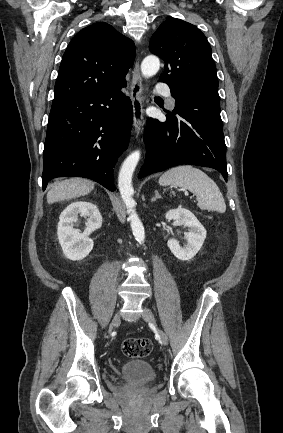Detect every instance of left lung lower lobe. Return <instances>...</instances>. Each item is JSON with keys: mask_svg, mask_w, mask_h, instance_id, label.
Wrapping results in <instances>:
<instances>
[{"mask_svg": "<svg viewBox=\"0 0 283 433\" xmlns=\"http://www.w3.org/2000/svg\"><path fill=\"white\" fill-rule=\"evenodd\" d=\"M167 120L148 119L144 133L145 163L138 178L182 164L211 167L227 181L226 145L222 127L184 114L166 115Z\"/></svg>", "mask_w": 283, "mask_h": 433, "instance_id": "0a47b994", "label": "left lung lower lobe"}]
</instances>
